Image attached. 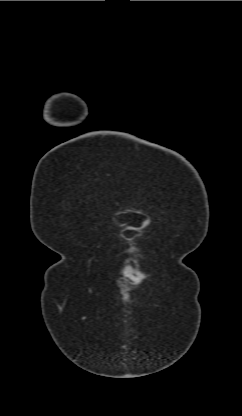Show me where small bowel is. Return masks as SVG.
Listing matches in <instances>:
<instances>
[{
	"instance_id": "obj_1",
	"label": "small bowel",
	"mask_w": 242,
	"mask_h": 416,
	"mask_svg": "<svg viewBox=\"0 0 242 416\" xmlns=\"http://www.w3.org/2000/svg\"><path fill=\"white\" fill-rule=\"evenodd\" d=\"M125 274H126L128 277H133V276H134V272H133V270H132L130 267H126V268H125Z\"/></svg>"
}]
</instances>
